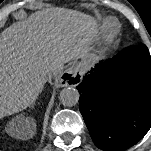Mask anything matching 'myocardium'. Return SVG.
<instances>
[{"instance_id": "myocardium-1", "label": "myocardium", "mask_w": 151, "mask_h": 151, "mask_svg": "<svg viewBox=\"0 0 151 151\" xmlns=\"http://www.w3.org/2000/svg\"><path fill=\"white\" fill-rule=\"evenodd\" d=\"M118 28L116 26L110 27L105 30L103 37H102V43L104 45H108L112 42V40L117 35Z\"/></svg>"}]
</instances>
